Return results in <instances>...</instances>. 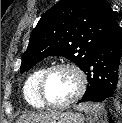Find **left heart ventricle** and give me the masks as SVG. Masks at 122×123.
I'll return each mask as SVG.
<instances>
[{
    "label": "left heart ventricle",
    "mask_w": 122,
    "mask_h": 123,
    "mask_svg": "<svg viewBox=\"0 0 122 123\" xmlns=\"http://www.w3.org/2000/svg\"><path fill=\"white\" fill-rule=\"evenodd\" d=\"M78 88V78L70 69L54 71L45 85V96L53 103H61L71 98Z\"/></svg>",
    "instance_id": "1"
}]
</instances>
